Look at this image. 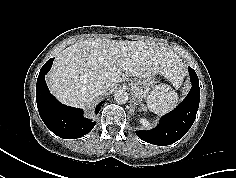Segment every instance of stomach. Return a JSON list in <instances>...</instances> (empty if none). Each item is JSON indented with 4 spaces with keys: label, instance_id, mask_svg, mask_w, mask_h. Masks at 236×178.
Here are the masks:
<instances>
[{
    "label": "stomach",
    "instance_id": "obj_1",
    "mask_svg": "<svg viewBox=\"0 0 236 178\" xmlns=\"http://www.w3.org/2000/svg\"><path fill=\"white\" fill-rule=\"evenodd\" d=\"M154 85L155 79L153 76L138 77L131 82V91L136 99H147Z\"/></svg>",
    "mask_w": 236,
    "mask_h": 178
}]
</instances>
